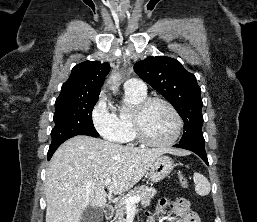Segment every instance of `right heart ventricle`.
Instances as JSON below:
<instances>
[{
	"label": "right heart ventricle",
	"instance_id": "1",
	"mask_svg": "<svg viewBox=\"0 0 257 222\" xmlns=\"http://www.w3.org/2000/svg\"><path fill=\"white\" fill-rule=\"evenodd\" d=\"M147 97L146 93H137L125 90L124 104L125 110L119 111L116 115V121L122 129L120 143H130L136 140V135L132 122V114L136 106Z\"/></svg>",
	"mask_w": 257,
	"mask_h": 222
}]
</instances>
